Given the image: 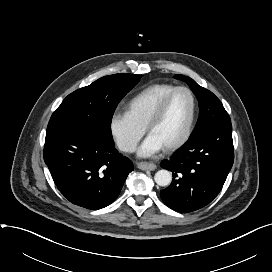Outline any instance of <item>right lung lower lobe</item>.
Listing matches in <instances>:
<instances>
[{
    "mask_svg": "<svg viewBox=\"0 0 272 272\" xmlns=\"http://www.w3.org/2000/svg\"><path fill=\"white\" fill-rule=\"evenodd\" d=\"M43 156L60 192L87 209L111 204L133 170L132 162L115 149L113 141L86 128L47 136Z\"/></svg>",
    "mask_w": 272,
    "mask_h": 272,
    "instance_id": "right-lung-lower-lobe-1",
    "label": "right lung lower lobe"
}]
</instances>
